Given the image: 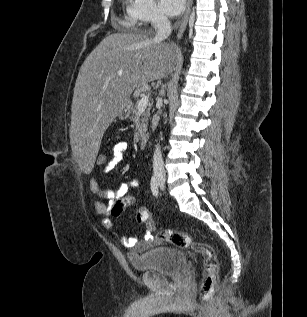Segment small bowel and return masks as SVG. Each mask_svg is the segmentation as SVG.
<instances>
[{"label": "small bowel", "instance_id": "small-bowel-1", "mask_svg": "<svg viewBox=\"0 0 307 317\" xmlns=\"http://www.w3.org/2000/svg\"><path fill=\"white\" fill-rule=\"evenodd\" d=\"M130 145L126 141H119L113 146L112 158L107 162L103 167V172L109 173L115 169L119 163L122 161L124 155L129 151ZM90 190L99 198L106 199L107 202H103L100 199L94 201V209L98 215L102 217H107L109 211L112 208L115 201L123 198L130 189L136 188L138 182L135 179H132L128 182L120 184L115 189L102 190L99 186L98 180L96 177H92L89 183ZM104 227L106 229L112 230L113 225L111 220L104 219ZM153 239V236L150 232H145L143 239L139 240L136 237L122 236L121 243L124 247L134 249L136 247L143 248L147 246Z\"/></svg>", "mask_w": 307, "mask_h": 317}]
</instances>
